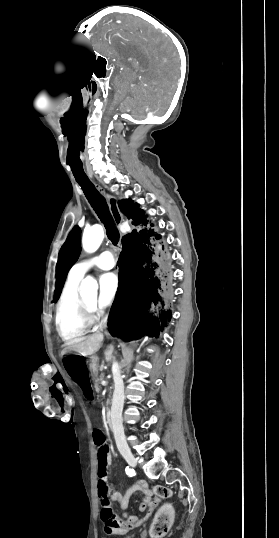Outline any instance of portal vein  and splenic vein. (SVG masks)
<instances>
[{"instance_id": "1", "label": "portal vein and splenic vein", "mask_w": 279, "mask_h": 538, "mask_svg": "<svg viewBox=\"0 0 279 538\" xmlns=\"http://www.w3.org/2000/svg\"><path fill=\"white\" fill-rule=\"evenodd\" d=\"M103 385H107V380H103Z\"/></svg>"}]
</instances>
